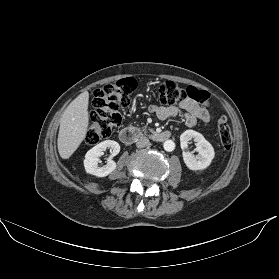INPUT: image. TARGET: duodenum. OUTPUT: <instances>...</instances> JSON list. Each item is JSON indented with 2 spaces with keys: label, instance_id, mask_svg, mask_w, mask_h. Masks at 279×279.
<instances>
[{
  "label": "duodenum",
  "instance_id": "410a0bca",
  "mask_svg": "<svg viewBox=\"0 0 279 279\" xmlns=\"http://www.w3.org/2000/svg\"><path fill=\"white\" fill-rule=\"evenodd\" d=\"M144 135L143 131L136 128H126L120 131L119 138L125 144H131L140 137ZM149 138L157 142H163L168 140L171 137V133L169 131H161V132H149L147 134Z\"/></svg>",
  "mask_w": 279,
  "mask_h": 279
}]
</instances>
